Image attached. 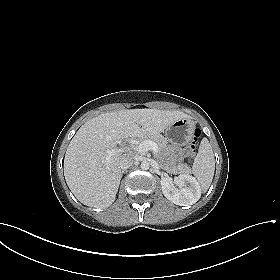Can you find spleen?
Wrapping results in <instances>:
<instances>
[{"label": "spleen", "instance_id": "1", "mask_svg": "<svg viewBox=\"0 0 280 280\" xmlns=\"http://www.w3.org/2000/svg\"><path fill=\"white\" fill-rule=\"evenodd\" d=\"M192 171L200 184L201 190L206 192L209 188L215 171V159L212 147L207 138H203Z\"/></svg>", "mask_w": 280, "mask_h": 280}]
</instances>
